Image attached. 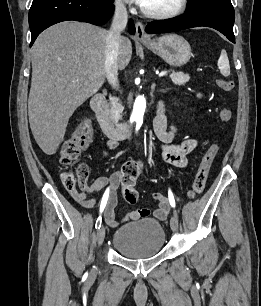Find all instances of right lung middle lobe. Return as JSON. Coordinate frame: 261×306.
<instances>
[{
    "label": "right lung middle lobe",
    "mask_w": 261,
    "mask_h": 306,
    "mask_svg": "<svg viewBox=\"0 0 261 306\" xmlns=\"http://www.w3.org/2000/svg\"><path fill=\"white\" fill-rule=\"evenodd\" d=\"M104 1H106V2H113L114 0H104Z\"/></svg>",
    "instance_id": "1"
}]
</instances>
